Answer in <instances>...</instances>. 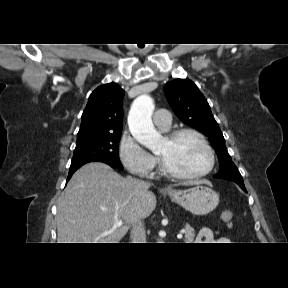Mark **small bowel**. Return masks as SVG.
Returning a JSON list of instances; mask_svg holds the SVG:
<instances>
[{
	"label": "small bowel",
	"mask_w": 288,
	"mask_h": 288,
	"mask_svg": "<svg viewBox=\"0 0 288 288\" xmlns=\"http://www.w3.org/2000/svg\"><path fill=\"white\" fill-rule=\"evenodd\" d=\"M198 243H229L230 240L226 237L214 238L213 232L209 228H202L198 234Z\"/></svg>",
	"instance_id": "1"
}]
</instances>
